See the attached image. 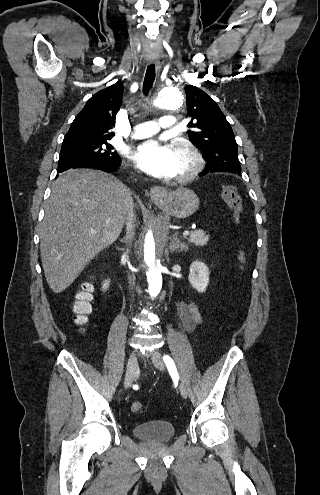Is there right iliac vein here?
I'll return each mask as SVG.
<instances>
[{
    "label": "right iliac vein",
    "mask_w": 320,
    "mask_h": 495,
    "mask_svg": "<svg viewBox=\"0 0 320 495\" xmlns=\"http://www.w3.org/2000/svg\"><path fill=\"white\" fill-rule=\"evenodd\" d=\"M136 362H137L136 354L134 351H131L127 363L126 374H125V381H124L125 388H128V386H130L133 382Z\"/></svg>",
    "instance_id": "1"
}]
</instances>
